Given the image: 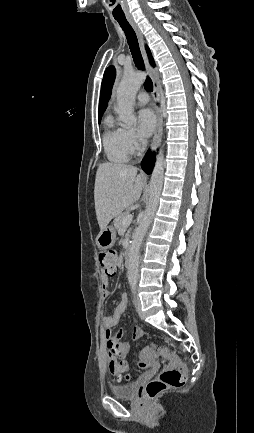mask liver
<instances>
[{"label":"liver","mask_w":254,"mask_h":433,"mask_svg":"<svg viewBox=\"0 0 254 433\" xmlns=\"http://www.w3.org/2000/svg\"><path fill=\"white\" fill-rule=\"evenodd\" d=\"M144 186L143 175H137L132 165L103 163L96 173L94 201L100 230L109 222L138 201Z\"/></svg>","instance_id":"1"}]
</instances>
